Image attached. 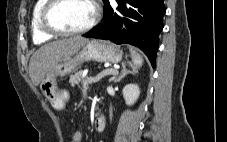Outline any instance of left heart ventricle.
<instances>
[{
    "instance_id": "b2bd125f",
    "label": "left heart ventricle",
    "mask_w": 227,
    "mask_h": 142,
    "mask_svg": "<svg viewBox=\"0 0 227 142\" xmlns=\"http://www.w3.org/2000/svg\"><path fill=\"white\" fill-rule=\"evenodd\" d=\"M93 17L90 0H65L52 13L53 23L65 30H74L87 25Z\"/></svg>"
}]
</instances>
